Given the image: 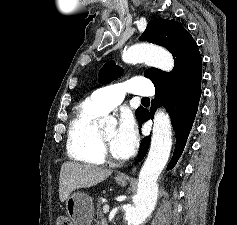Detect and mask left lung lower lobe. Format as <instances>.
<instances>
[{"label": "left lung lower lobe", "mask_w": 237, "mask_h": 225, "mask_svg": "<svg viewBox=\"0 0 237 225\" xmlns=\"http://www.w3.org/2000/svg\"><path fill=\"white\" fill-rule=\"evenodd\" d=\"M201 96V76H196L180 85L156 88L155 99L152 100L150 111L142 108L138 118L142 125L149 119H153L157 107L163 105L171 117V122L176 133V146L173 157L167 166L171 170L180 158L187 138L191 131L198 110ZM151 136L145 137L141 142L138 161L146 155Z\"/></svg>", "instance_id": "0a47b994"}]
</instances>
